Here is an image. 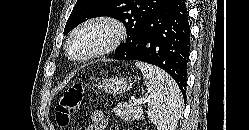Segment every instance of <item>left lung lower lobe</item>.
Listing matches in <instances>:
<instances>
[{
    "mask_svg": "<svg viewBox=\"0 0 249 130\" xmlns=\"http://www.w3.org/2000/svg\"><path fill=\"white\" fill-rule=\"evenodd\" d=\"M190 37L186 2L170 0L113 58L143 61L162 68L173 77L186 99Z\"/></svg>",
    "mask_w": 249,
    "mask_h": 130,
    "instance_id": "obj_1",
    "label": "left lung lower lobe"
}]
</instances>
